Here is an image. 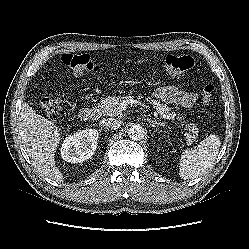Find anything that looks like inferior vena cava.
I'll list each match as a JSON object with an SVG mask.
<instances>
[{"label": "inferior vena cava", "instance_id": "inferior-vena-cava-1", "mask_svg": "<svg viewBox=\"0 0 249 249\" xmlns=\"http://www.w3.org/2000/svg\"><path fill=\"white\" fill-rule=\"evenodd\" d=\"M100 125L106 129L116 130L121 126V121L113 119V118H108V119L101 120Z\"/></svg>", "mask_w": 249, "mask_h": 249}]
</instances>
